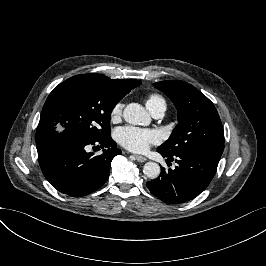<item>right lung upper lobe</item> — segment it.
Instances as JSON below:
<instances>
[{
    "mask_svg": "<svg viewBox=\"0 0 266 266\" xmlns=\"http://www.w3.org/2000/svg\"><path fill=\"white\" fill-rule=\"evenodd\" d=\"M122 80H125V81H132V82L139 81V80H133V79H122ZM139 82H141V81H139Z\"/></svg>",
    "mask_w": 266,
    "mask_h": 266,
    "instance_id": "cb5924a9",
    "label": "right lung upper lobe"
}]
</instances>
